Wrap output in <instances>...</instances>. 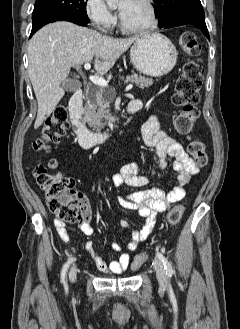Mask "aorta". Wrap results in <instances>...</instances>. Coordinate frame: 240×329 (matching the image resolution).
Here are the masks:
<instances>
[{"instance_id": "aorta-1", "label": "aorta", "mask_w": 240, "mask_h": 329, "mask_svg": "<svg viewBox=\"0 0 240 329\" xmlns=\"http://www.w3.org/2000/svg\"><path fill=\"white\" fill-rule=\"evenodd\" d=\"M125 0H106L109 7H116L118 4L124 2Z\"/></svg>"}]
</instances>
